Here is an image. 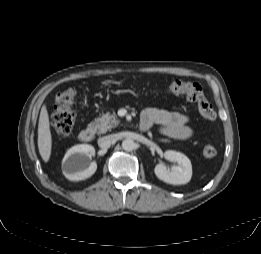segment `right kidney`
Wrapping results in <instances>:
<instances>
[{"instance_id":"1","label":"right kidney","mask_w":261,"mask_h":254,"mask_svg":"<svg viewBox=\"0 0 261 254\" xmlns=\"http://www.w3.org/2000/svg\"><path fill=\"white\" fill-rule=\"evenodd\" d=\"M95 149L89 144H78L71 147L62 161L64 176L71 181H81L91 177L97 170L96 162H90Z\"/></svg>"}]
</instances>
